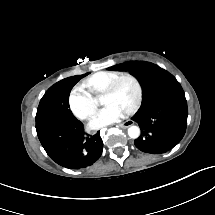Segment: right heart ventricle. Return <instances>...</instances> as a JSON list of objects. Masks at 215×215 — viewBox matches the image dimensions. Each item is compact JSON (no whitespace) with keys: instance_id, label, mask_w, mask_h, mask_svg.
I'll return each mask as SVG.
<instances>
[{"instance_id":"e07e8e85","label":"right heart ventricle","mask_w":215,"mask_h":215,"mask_svg":"<svg viewBox=\"0 0 215 215\" xmlns=\"http://www.w3.org/2000/svg\"><path fill=\"white\" fill-rule=\"evenodd\" d=\"M120 74L119 72H103L100 75L96 76L94 83L96 87L103 89L107 87L109 80L107 77H111L113 75Z\"/></svg>"}]
</instances>
